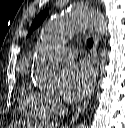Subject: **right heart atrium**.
<instances>
[{
    "label": "right heart atrium",
    "mask_w": 125,
    "mask_h": 128,
    "mask_svg": "<svg viewBox=\"0 0 125 128\" xmlns=\"http://www.w3.org/2000/svg\"><path fill=\"white\" fill-rule=\"evenodd\" d=\"M46 100L53 111H59L62 108L60 99L54 94H45Z\"/></svg>",
    "instance_id": "obj_1"
}]
</instances>
